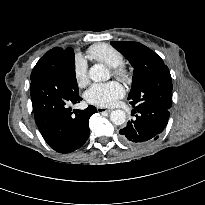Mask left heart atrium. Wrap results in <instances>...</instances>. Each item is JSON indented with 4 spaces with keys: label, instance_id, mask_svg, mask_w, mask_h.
Listing matches in <instances>:
<instances>
[{
    "label": "left heart atrium",
    "instance_id": "left-heart-atrium-1",
    "mask_svg": "<svg viewBox=\"0 0 205 205\" xmlns=\"http://www.w3.org/2000/svg\"><path fill=\"white\" fill-rule=\"evenodd\" d=\"M124 95L123 86L111 81L92 85L85 93V99L89 104L98 107H112Z\"/></svg>",
    "mask_w": 205,
    "mask_h": 205
}]
</instances>
